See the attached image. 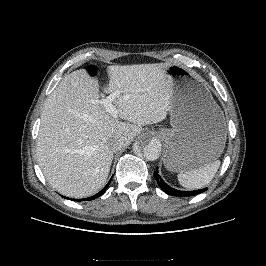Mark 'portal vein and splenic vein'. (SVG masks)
<instances>
[{
    "instance_id": "1",
    "label": "portal vein and splenic vein",
    "mask_w": 266,
    "mask_h": 266,
    "mask_svg": "<svg viewBox=\"0 0 266 266\" xmlns=\"http://www.w3.org/2000/svg\"><path fill=\"white\" fill-rule=\"evenodd\" d=\"M118 95V93H113L111 95H109L106 98H103L100 100V103L104 106V108L106 109V111L108 113H110V115L114 118L118 117V110L116 109V107L113 105V100L114 98Z\"/></svg>"
}]
</instances>
